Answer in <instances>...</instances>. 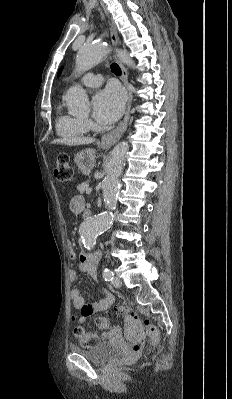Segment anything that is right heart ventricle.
Segmentation results:
<instances>
[{"instance_id":"obj_1","label":"right heart ventricle","mask_w":232,"mask_h":399,"mask_svg":"<svg viewBox=\"0 0 232 399\" xmlns=\"http://www.w3.org/2000/svg\"><path fill=\"white\" fill-rule=\"evenodd\" d=\"M90 126L83 118L59 112L55 119V132L66 141H78L89 131Z\"/></svg>"}]
</instances>
